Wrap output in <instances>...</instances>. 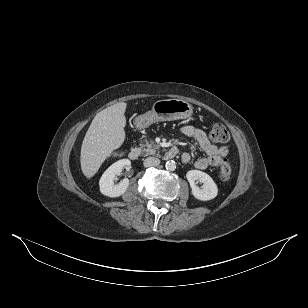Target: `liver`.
Here are the masks:
<instances>
[{
  "label": "liver",
  "instance_id": "6515ba94",
  "mask_svg": "<svg viewBox=\"0 0 308 308\" xmlns=\"http://www.w3.org/2000/svg\"><path fill=\"white\" fill-rule=\"evenodd\" d=\"M127 104L116 103L100 111L86 132L82 146L80 163L86 178L93 177L105 159L125 140Z\"/></svg>",
  "mask_w": 308,
  "mask_h": 308
}]
</instances>
